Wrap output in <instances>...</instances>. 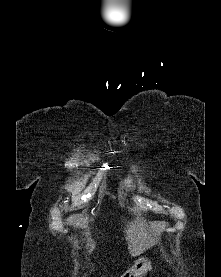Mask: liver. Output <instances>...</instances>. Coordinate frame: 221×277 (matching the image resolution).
<instances>
[{
    "label": "liver",
    "instance_id": "6515ba94",
    "mask_svg": "<svg viewBox=\"0 0 221 277\" xmlns=\"http://www.w3.org/2000/svg\"><path fill=\"white\" fill-rule=\"evenodd\" d=\"M126 227L124 232L126 234L128 250L131 256H137L143 253L159 241V234L155 232L148 233L146 224L142 220H135ZM88 241L89 253H91L95 248V244L90 240Z\"/></svg>",
    "mask_w": 221,
    "mask_h": 277
}]
</instances>
